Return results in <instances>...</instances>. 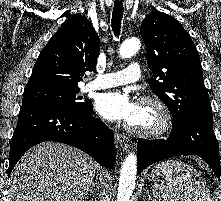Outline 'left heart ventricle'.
<instances>
[{"instance_id":"1","label":"left heart ventricle","mask_w":221,"mask_h":201,"mask_svg":"<svg viewBox=\"0 0 221 201\" xmlns=\"http://www.w3.org/2000/svg\"><path fill=\"white\" fill-rule=\"evenodd\" d=\"M156 118L153 110L147 107H139L136 117L131 121V124L137 127H151L155 124Z\"/></svg>"}]
</instances>
